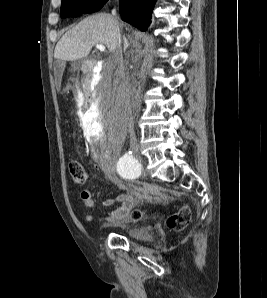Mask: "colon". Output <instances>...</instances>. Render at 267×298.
<instances>
[{
	"label": "colon",
	"mask_w": 267,
	"mask_h": 298,
	"mask_svg": "<svg viewBox=\"0 0 267 298\" xmlns=\"http://www.w3.org/2000/svg\"><path fill=\"white\" fill-rule=\"evenodd\" d=\"M68 169L72 178V181L77 185H83L87 181L88 172L85 166L78 160L71 159L68 162ZM145 216V212L140 209H136L132 212L131 218L134 221H139ZM191 219V211L187 206L182 207L177 212L170 215L167 219V227L173 231H181L186 228Z\"/></svg>",
	"instance_id": "1"
}]
</instances>
